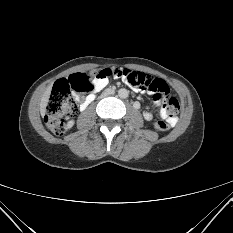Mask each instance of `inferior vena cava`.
<instances>
[{
    "label": "inferior vena cava",
    "mask_w": 233,
    "mask_h": 233,
    "mask_svg": "<svg viewBox=\"0 0 233 233\" xmlns=\"http://www.w3.org/2000/svg\"><path fill=\"white\" fill-rule=\"evenodd\" d=\"M114 90L112 89V88H107L106 90H104L103 91V93H102V97H111V96H113L114 95Z\"/></svg>",
    "instance_id": "602c4592"
}]
</instances>
